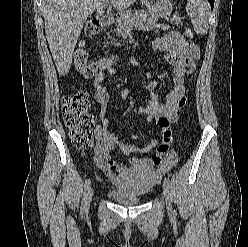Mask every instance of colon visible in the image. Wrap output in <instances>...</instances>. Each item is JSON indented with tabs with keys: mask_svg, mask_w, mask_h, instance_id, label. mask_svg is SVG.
Wrapping results in <instances>:
<instances>
[{
	"mask_svg": "<svg viewBox=\"0 0 248 247\" xmlns=\"http://www.w3.org/2000/svg\"><path fill=\"white\" fill-rule=\"evenodd\" d=\"M100 32V24L95 20H89L84 27V34L92 38ZM188 38L193 36L191 29L185 30ZM73 63L77 71L86 78H92L97 74L98 63L89 61L84 46H80L74 52ZM62 114L73 145L79 149L92 146L95 131V118L90 112V104L87 95L83 91H77L73 95L66 96L62 100Z\"/></svg>",
	"mask_w": 248,
	"mask_h": 247,
	"instance_id": "5ec220e1",
	"label": "colon"
}]
</instances>
